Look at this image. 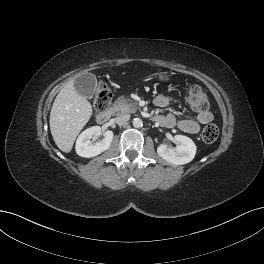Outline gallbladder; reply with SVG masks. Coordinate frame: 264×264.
Here are the masks:
<instances>
[{
  "label": "gallbladder",
  "mask_w": 264,
  "mask_h": 264,
  "mask_svg": "<svg viewBox=\"0 0 264 264\" xmlns=\"http://www.w3.org/2000/svg\"><path fill=\"white\" fill-rule=\"evenodd\" d=\"M96 84V77L91 73L80 75L74 81L75 90L86 98H92L95 93Z\"/></svg>",
  "instance_id": "1"
}]
</instances>
